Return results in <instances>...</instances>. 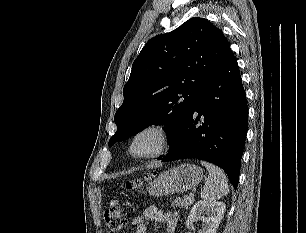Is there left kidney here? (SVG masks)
<instances>
[{"label":"left kidney","instance_id":"obj_1","mask_svg":"<svg viewBox=\"0 0 306 233\" xmlns=\"http://www.w3.org/2000/svg\"><path fill=\"white\" fill-rule=\"evenodd\" d=\"M225 210L226 205L223 202L198 201L186 220V227L189 229L195 221L201 220L203 225L198 233H216Z\"/></svg>","mask_w":306,"mask_h":233}]
</instances>
